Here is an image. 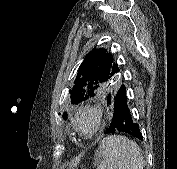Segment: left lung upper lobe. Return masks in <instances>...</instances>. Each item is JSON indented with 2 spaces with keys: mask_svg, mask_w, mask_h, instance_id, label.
Returning <instances> with one entry per match:
<instances>
[{
  "mask_svg": "<svg viewBox=\"0 0 177 169\" xmlns=\"http://www.w3.org/2000/svg\"><path fill=\"white\" fill-rule=\"evenodd\" d=\"M120 67L105 49L94 48L81 63L71 102L77 104L89 97L106 95L113 97L120 88Z\"/></svg>",
  "mask_w": 177,
  "mask_h": 169,
  "instance_id": "left-lung-upper-lobe-1",
  "label": "left lung upper lobe"
}]
</instances>
